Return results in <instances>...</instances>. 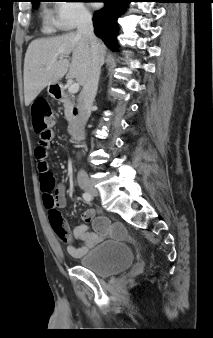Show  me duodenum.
Instances as JSON below:
<instances>
[{"instance_id":"obj_1","label":"duodenum","mask_w":213,"mask_h":338,"mask_svg":"<svg viewBox=\"0 0 213 338\" xmlns=\"http://www.w3.org/2000/svg\"><path fill=\"white\" fill-rule=\"evenodd\" d=\"M53 95L56 99H59L63 95V87L60 85H56L53 88ZM73 114V119L70 122V129L72 134L75 136V138H79L82 136V133L79 131V114H80V109L75 106L72 111Z\"/></svg>"}]
</instances>
